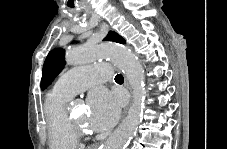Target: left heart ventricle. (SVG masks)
<instances>
[{"label":"left heart ventricle","mask_w":227,"mask_h":149,"mask_svg":"<svg viewBox=\"0 0 227 149\" xmlns=\"http://www.w3.org/2000/svg\"><path fill=\"white\" fill-rule=\"evenodd\" d=\"M72 118L81 124H84L87 120L86 114L82 111L76 113Z\"/></svg>","instance_id":"1"}]
</instances>
